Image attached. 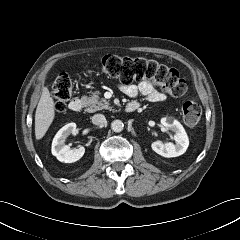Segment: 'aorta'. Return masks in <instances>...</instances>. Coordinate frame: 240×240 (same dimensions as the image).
Here are the masks:
<instances>
[{
  "mask_svg": "<svg viewBox=\"0 0 240 240\" xmlns=\"http://www.w3.org/2000/svg\"><path fill=\"white\" fill-rule=\"evenodd\" d=\"M123 128H124V124L121 120H114L111 123V129L116 133L121 132L123 130Z\"/></svg>",
  "mask_w": 240,
  "mask_h": 240,
  "instance_id": "1",
  "label": "aorta"
}]
</instances>
